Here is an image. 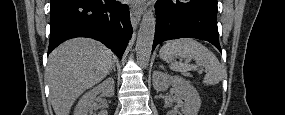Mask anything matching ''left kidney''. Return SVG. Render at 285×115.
Here are the masks:
<instances>
[{"label":"left kidney","instance_id":"left-kidney-1","mask_svg":"<svg viewBox=\"0 0 285 115\" xmlns=\"http://www.w3.org/2000/svg\"><path fill=\"white\" fill-rule=\"evenodd\" d=\"M170 85L178 97L177 104L181 107L183 115H197L201 107V99L197 90L182 77L170 76L159 71L154 72L153 86L155 90L165 91ZM170 114L175 115L174 113Z\"/></svg>","mask_w":285,"mask_h":115}]
</instances>
